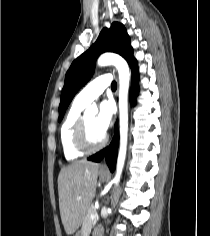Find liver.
<instances>
[{
    "label": "liver",
    "instance_id": "liver-1",
    "mask_svg": "<svg viewBox=\"0 0 210 236\" xmlns=\"http://www.w3.org/2000/svg\"><path fill=\"white\" fill-rule=\"evenodd\" d=\"M99 167L98 163L80 160L61 169L59 173V208L67 235L74 234L80 227L92 203Z\"/></svg>",
    "mask_w": 210,
    "mask_h": 236
}]
</instances>
